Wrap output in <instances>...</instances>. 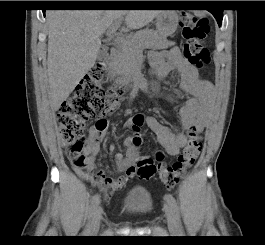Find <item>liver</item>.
<instances>
[{
  "mask_svg": "<svg viewBox=\"0 0 265 245\" xmlns=\"http://www.w3.org/2000/svg\"><path fill=\"white\" fill-rule=\"evenodd\" d=\"M161 10H51L48 24L47 76L54 110L68 98L94 66L101 47L100 37L124 17L127 32L149 24Z\"/></svg>",
  "mask_w": 265,
  "mask_h": 245,
  "instance_id": "liver-1",
  "label": "liver"
}]
</instances>
